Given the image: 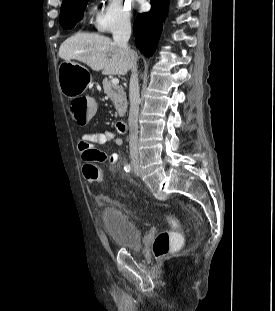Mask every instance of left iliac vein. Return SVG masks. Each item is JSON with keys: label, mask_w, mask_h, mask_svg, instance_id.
<instances>
[{"label": "left iliac vein", "mask_w": 275, "mask_h": 311, "mask_svg": "<svg viewBox=\"0 0 275 311\" xmlns=\"http://www.w3.org/2000/svg\"><path fill=\"white\" fill-rule=\"evenodd\" d=\"M133 171H134V174H135L136 176H139V174H140V169H139L138 163H137V164H134Z\"/></svg>", "instance_id": "obj_1"}]
</instances>
